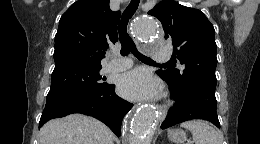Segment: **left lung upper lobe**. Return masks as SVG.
<instances>
[{
  "mask_svg": "<svg viewBox=\"0 0 260 144\" xmlns=\"http://www.w3.org/2000/svg\"><path fill=\"white\" fill-rule=\"evenodd\" d=\"M148 14L161 21L165 39L174 46L172 57L185 67L157 71L170 90L180 92L194 87L215 94L217 46L214 27L207 17L200 10L173 0L161 1Z\"/></svg>",
  "mask_w": 260,
  "mask_h": 144,
  "instance_id": "obj_1",
  "label": "left lung upper lobe"
}]
</instances>
